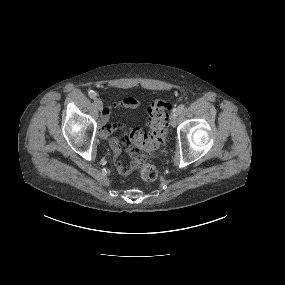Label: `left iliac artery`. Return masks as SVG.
<instances>
[{
	"label": "left iliac artery",
	"instance_id": "44dca946",
	"mask_svg": "<svg viewBox=\"0 0 285 285\" xmlns=\"http://www.w3.org/2000/svg\"><path fill=\"white\" fill-rule=\"evenodd\" d=\"M184 108H185V105L181 104L176 109H174V111L180 114L184 110Z\"/></svg>",
	"mask_w": 285,
	"mask_h": 285
}]
</instances>
